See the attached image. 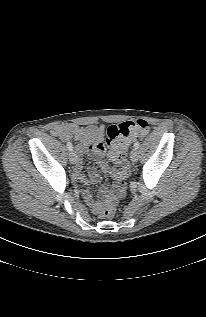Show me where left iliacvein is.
<instances>
[{"label": "left iliac vein", "instance_id": "left-iliac-vein-1", "mask_svg": "<svg viewBox=\"0 0 206 317\" xmlns=\"http://www.w3.org/2000/svg\"><path fill=\"white\" fill-rule=\"evenodd\" d=\"M130 158H131V161H132L133 163H136V162H137V160H138V151H137V149L134 148V149L131 151Z\"/></svg>", "mask_w": 206, "mask_h": 317}]
</instances>
